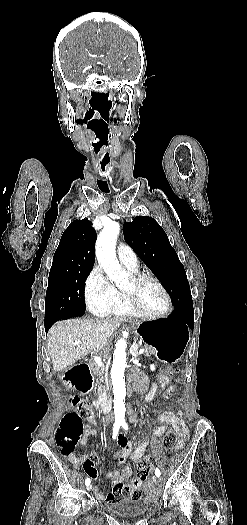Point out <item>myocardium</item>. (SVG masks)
Returning <instances> with one entry per match:
<instances>
[{
	"label": "myocardium",
	"mask_w": 247,
	"mask_h": 525,
	"mask_svg": "<svg viewBox=\"0 0 247 525\" xmlns=\"http://www.w3.org/2000/svg\"><path fill=\"white\" fill-rule=\"evenodd\" d=\"M144 279H150L153 282H155V284L164 293L165 299H166V303H165V306L162 309H160L158 311H151V310H148L142 304V302L140 301L138 296L133 293L136 296V298H137L138 313L141 314V315H144V316H149V317H154V318H159V317H162V316L166 315L167 313H169L171 308H172V298H171V295L168 292L167 288L164 286V284L161 282V280L158 277H156L155 275H153L151 273H144L143 272V273H140L137 276H134V278H133L135 283H139V282H141Z\"/></svg>",
	"instance_id": "myocardium-1"
}]
</instances>
